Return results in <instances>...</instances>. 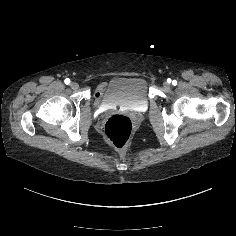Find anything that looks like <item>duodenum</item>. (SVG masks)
<instances>
[{
	"instance_id": "1",
	"label": "duodenum",
	"mask_w": 236,
	"mask_h": 236,
	"mask_svg": "<svg viewBox=\"0 0 236 236\" xmlns=\"http://www.w3.org/2000/svg\"><path fill=\"white\" fill-rule=\"evenodd\" d=\"M100 95V90H98V92L96 93V98H98Z\"/></svg>"
}]
</instances>
